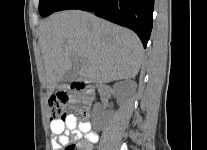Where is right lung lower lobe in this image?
I'll return each mask as SVG.
<instances>
[{
	"label": "right lung lower lobe",
	"instance_id": "98d812e1",
	"mask_svg": "<svg viewBox=\"0 0 207 150\" xmlns=\"http://www.w3.org/2000/svg\"><path fill=\"white\" fill-rule=\"evenodd\" d=\"M80 9L128 27L146 47L153 26L154 0H66L57 11Z\"/></svg>",
	"mask_w": 207,
	"mask_h": 150
}]
</instances>
